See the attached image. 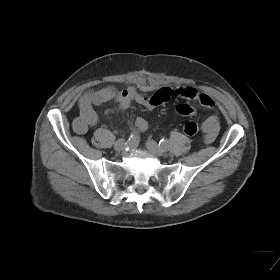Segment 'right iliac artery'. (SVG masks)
<instances>
[{
    "label": "right iliac artery",
    "mask_w": 280,
    "mask_h": 280,
    "mask_svg": "<svg viewBox=\"0 0 280 280\" xmlns=\"http://www.w3.org/2000/svg\"><path fill=\"white\" fill-rule=\"evenodd\" d=\"M139 142H140V136L138 132L134 129L129 139L125 143L126 150H134L139 145Z\"/></svg>",
    "instance_id": "82829eb1"
}]
</instances>
